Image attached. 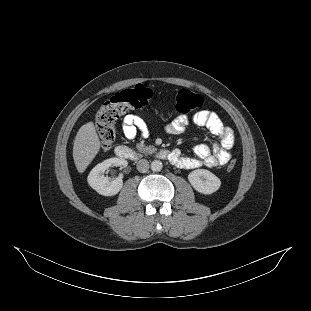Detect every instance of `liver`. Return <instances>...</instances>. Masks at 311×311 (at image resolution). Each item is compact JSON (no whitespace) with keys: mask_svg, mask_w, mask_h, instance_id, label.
Wrapping results in <instances>:
<instances>
[{"mask_svg":"<svg viewBox=\"0 0 311 311\" xmlns=\"http://www.w3.org/2000/svg\"><path fill=\"white\" fill-rule=\"evenodd\" d=\"M100 140L93 122L78 130L73 146V159L79 173H83L100 150Z\"/></svg>","mask_w":311,"mask_h":311,"instance_id":"6515ba94","label":"liver"}]
</instances>
